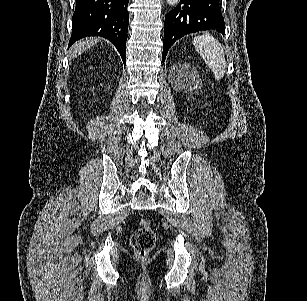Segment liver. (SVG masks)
Returning a JSON list of instances; mask_svg holds the SVG:
<instances>
[{
    "label": "liver",
    "mask_w": 307,
    "mask_h": 301,
    "mask_svg": "<svg viewBox=\"0 0 307 301\" xmlns=\"http://www.w3.org/2000/svg\"><path fill=\"white\" fill-rule=\"evenodd\" d=\"M99 40L100 38H95V36H92V38H82V40L74 42L71 48H69V56H71V58H76V56H79V54H82V52H85V50H88V48H91V46L97 44Z\"/></svg>",
    "instance_id": "obj_1"
}]
</instances>
